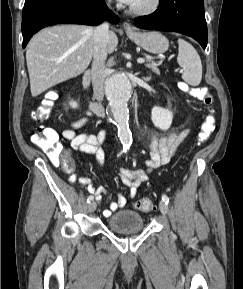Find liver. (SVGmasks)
Instances as JSON below:
<instances>
[{
	"label": "liver",
	"mask_w": 243,
	"mask_h": 289,
	"mask_svg": "<svg viewBox=\"0 0 243 289\" xmlns=\"http://www.w3.org/2000/svg\"><path fill=\"white\" fill-rule=\"evenodd\" d=\"M118 38L109 32L107 52L113 53ZM94 56V28L85 25H56L38 32L26 51L31 95L82 74ZM80 57V59H77Z\"/></svg>",
	"instance_id": "liver-1"
}]
</instances>
